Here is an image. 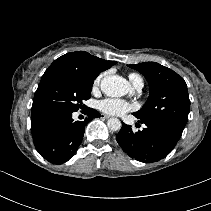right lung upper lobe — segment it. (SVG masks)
<instances>
[{
    "label": "right lung upper lobe",
    "instance_id": "obj_1",
    "mask_svg": "<svg viewBox=\"0 0 211 211\" xmlns=\"http://www.w3.org/2000/svg\"><path fill=\"white\" fill-rule=\"evenodd\" d=\"M115 63L116 61H106L84 51H76L67 53L56 59L45 71L43 76L54 69H68L83 75L97 77L100 72L112 67ZM32 115H35V113L31 112Z\"/></svg>",
    "mask_w": 211,
    "mask_h": 211
}]
</instances>
